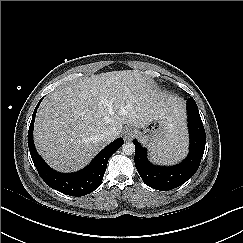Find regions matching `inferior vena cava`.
Listing matches in <instances>:
<instances>
[{
    "mask_svg": "<svg viewBox=\"0 0 243 243\" xmlns=\"http://www.w3.org/2000/svg\"><path fill=\"white\" fill-rule=\"evenodd\" d=\"M103 138L109 142L113 141L116 138V131L114 129H110L103 135Z\"/></svg>",
    "mask_w": 243,
    "mask_h": 243,
    "instance_id": "inferior-vena-cava-1",
    "label": "inferior vena cava"
}]
</instances>
